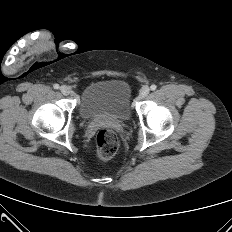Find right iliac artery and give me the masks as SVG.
I'll use <instances>...</instances> for the list:
<instances>
[{"mask_svg":"<svg viewBox=\"0 0 232 232\" xmlns=\"http://www.w3.org/2000/svg\"><path fill=\"white\" fill-rule=\"evenodd\" d=\"M53 87H54V89H59V85L58 84H54Z\"/></svg>","mask_w":232,"mask_h":232,"instance_id":"82829eb1","label":"right iliac artery"}]
</instances>
